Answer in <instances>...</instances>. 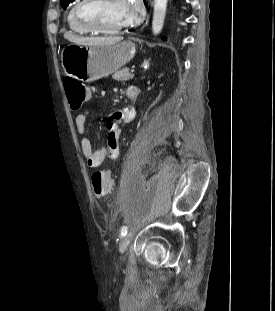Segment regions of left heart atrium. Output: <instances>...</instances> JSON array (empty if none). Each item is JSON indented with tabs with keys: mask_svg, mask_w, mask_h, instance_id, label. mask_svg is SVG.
Returning a JSON list of instances; mask_svg holds the SVG:
<instances>
[{
	"mask_svg": "<svg viewBox=\"0 0 275 311\" xmlns=\"http://www.w3.org/2000/svg\"><path fill=\"white\" fill-rule=\"evenodd\" d=\"M125 4V25H131L140 19L142 7L140 0H123Z\"/></svg>",
	"mask_w": 275,
	"mask_h": 311,
	"instance_id": "left-heart-atrium-1",
	"label": "left heart atrium"
}]
</instances>
